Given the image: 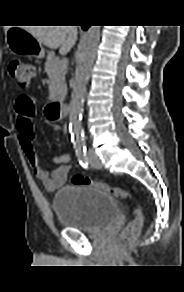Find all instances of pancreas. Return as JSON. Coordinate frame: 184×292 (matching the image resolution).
Returning a JSON list of instances; mask_svg holds the SVG:
<instances>
[{"instance_id":"1","label":"pancreas","mask_w":184,"mask_h":292,"mask_svg":"<svg viewBox=\"0 0 184 292\" xmlns=\"http://www.w3.org/2000/svg\"><path fill=\"white\" fill-rule=\"evenodd\" d=\"M67 68H63V61L56 58L53 51H49L45 62V71L49 77L50 95L62 98L67 91L65 75Z\"/></svg>"}]
</instances>
